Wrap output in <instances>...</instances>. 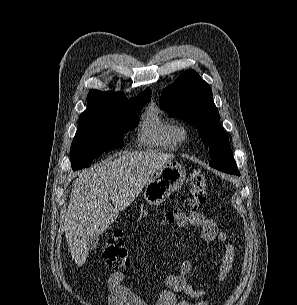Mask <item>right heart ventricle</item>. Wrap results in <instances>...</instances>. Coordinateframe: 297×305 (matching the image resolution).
Listing matches in <instances>:
<instances>
[{
    "mask_svg": "<svg viewBox=\"0 0 297 305\" xmlns=\"http://www.w3.org/2000/svg\"><path fill=\"white\" fill-rule=\"evenodd\" d=\"M176 126L165 119L158 108L151 106L143 115L139 141L148 148L174 150L178 146Z\"/></svg>",
    "mask_w": 297,
    "mask_h": 305,
    "instance_id": "obj_1",
    "label": "right heart ventricle"
}]
</instances>
